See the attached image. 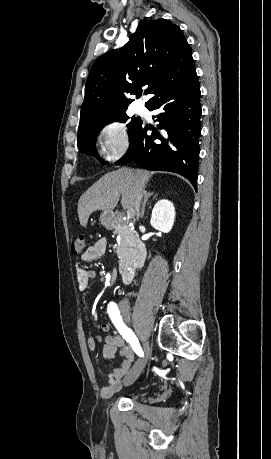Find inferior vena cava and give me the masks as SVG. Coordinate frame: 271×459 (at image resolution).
<instances>
[{"label":"inferior vena cava","mask_w":271,"mask_h":459,"mask_svg":"<svg viewBox=\"0 0 271 459\" xmlns=\"http://www.w3.org/2000/svg\"><path fill=\"white\" fill-rule=\"evenodd\" d=\"M141 198H142V194L140 190H136L133 214H136L137 218H139L140 216Z\"/></svg>","instance_id":"inferior-vena-cava-1"}]
</instances>
